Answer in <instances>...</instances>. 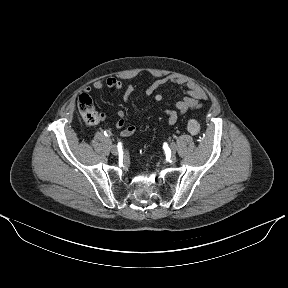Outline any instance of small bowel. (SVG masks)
<instances>
[{"mask_svg": "<svg viewBox=\"0 0 288 288\" xmlns=\"http://www.w3.org/2000/svg\"><path fill=\"white\" fill-rule=\"evenodd\" d=\"M174 84L180 87L185 96L175 103L174 109H165L164 112L168 117V124H175L179 117L189 110L201 108L204 102L207 100V95L204 90L195 82L178 75H168L159 78L152 82L146 89L145 93L148 96H153L155 102H160L162 100V95L157 93V90L162 86ZM93 88L96 90H101L104 88L123 90L122 100L123 102H128L134 92V86L130 83L123 84L120 80L116 78H105L97 80L93 84ZM86 93H91L92 88H86ZM117 120L115 121V126L120 129V135L122 137H130L137 132V127L135 125L126 126V113L123 110H118L116 112ZM105 118L104 114H101V120ZM143 119V116L138 118L139 121Z\"/></svg>", "mask_w": 288, "mask_h": 288, "instance_id": "1", "label": "small bowel"}]
</instances>
